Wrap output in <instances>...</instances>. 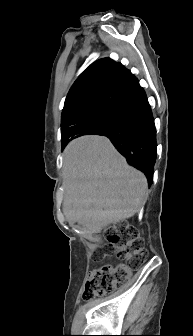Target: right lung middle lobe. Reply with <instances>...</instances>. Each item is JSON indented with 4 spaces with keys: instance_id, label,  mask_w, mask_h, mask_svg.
<instances>
[{
    "instance_id": "dd1d6c3e",
    "label": "right lung middle lobe",
    "mask_w": 193,
    "mask_h": 336,
    "mask_svg": "<svg viewBox=\"0 0 193 336\" xmlns=\"http://www.w3.org/2000/svg\"><path fill=\"white\" fill-rule=\"evenodd\" d=\"M112 110L106 109L89 117H83L71 127L73 133L97 134L105 125Z\"/></svg>"
}]
</instances>
